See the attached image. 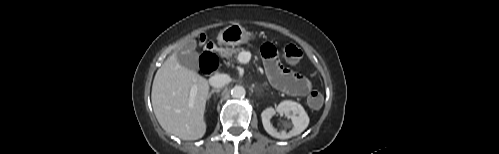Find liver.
<instances>
[{
	"label": "liver",
	"instance_id": "1",
	"mask_svg": "<svg viewBox=\"0 0 499 154\" xmlns=\"http://www.w3.org/2000/svg\"><path fill=\"white\" fill-rule=\"evenodd\" d=\"M196 95L190 104V91ZM208 81L194 70L178 62L177 53L169 56L156 72L151 101L155 116L168 133L183 140H197L204 136V111L208 96Z\"/></svg>",
	"mask_w": 499,
	"mask_h": 154
}]
</instances>
